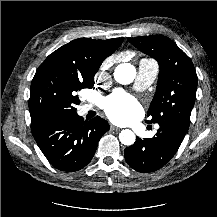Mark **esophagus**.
I'll return each instance as SVG.
<instances>
[{
  "label": "esophagus",
  "mask_w": 217,
  "mask_h": 217,
  "mask_svg": "<svg viewBox=\"0 0 217 217\" xmlns=\"http://www.w3.org/2000/svg\"><path fill=\"white\" fill-rule=\"evenodd\" d=\"M110 128H111V130H113V131H119V130H120L119 127H116V126H114V125H111Z\"/></svg>",
  "instance_id": "esophagus-1"
}]
</instances>
